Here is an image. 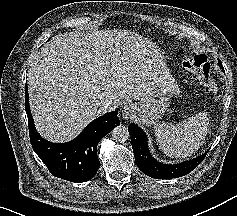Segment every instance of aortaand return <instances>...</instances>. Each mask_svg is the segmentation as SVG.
I'll use <instances>...</instances> for the list:
<instances>
[{
	"label": "aorta",
	"instance_id": "obj_1",
	"mask_svg": "<svg viewBox=\"0 0 237 216\" xmlns=\"http://www.w3.org/2000/svg\"><path fill=\"white\" fill-rule=\"evenodd\" d=\"M112 138L116 142L125 143L129 138L130 134L128 128L124 125H119L112 130Z\"/></svg>",
	"mask_w": 237,
	"mask_h": 216
}]
</instances>
